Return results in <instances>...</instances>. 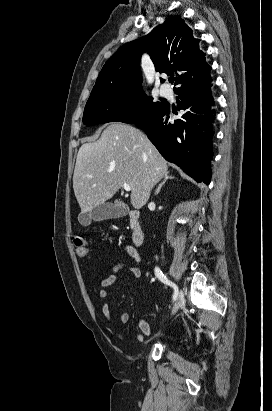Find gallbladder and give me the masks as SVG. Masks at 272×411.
<instances>
[{"mask_svg":"<svg viewBox=\"0 0 272 411\" xmlns=\"http://www.w3.org/2000/svg\"><path fill=\"white\" fill-rule=\"evenodd\" d=\"M129 211V208L120 200L112 202H104L89 213H82L78 217V221L82 226H88L91 220L95 222H101L108 219H116L125 216Z\"/></svg>","mask_w":272,"mask_h":411,"instance_id":"obj_1","label":"gallbladder"}]
</instances>
